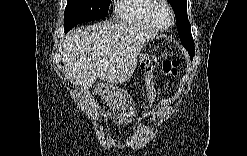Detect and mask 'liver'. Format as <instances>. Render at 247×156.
<instances>
[{
    "instance_id": "obj_1",
    "label": "liver",
    "mask_w": 247,
    "mask_h": 156,
    "mask_svg": "<svg viewBox=\"0 0 247 156\" xmlns=\"http://www.w3.org/2000/svg\"><path fill=\"white\" fill-rule=\"evenodd\" d=\"M157 36L127 23L95 24L70 31L64 43V69L74 85L89 88L97 78L124 83L133 75L145 43Z\"/></svg>"
}]
</instances>
